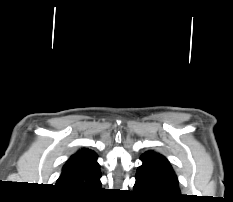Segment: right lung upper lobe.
Here are the masks:
<instances>
[{
	"label": "right lung upper lobe",
	"mask_w": 233,
	"mask_h": 202,
	"mask_svg": "<svg viewBox=\"0 0 233 202\" xmlns=\"http://www.w3.org/2000/svg\"><path fill=\"white\" fill-rule=\"evenodd\" d=\"M95 152L81 149L63 166L56 186L74 194H87L100 188L101 172Z\"/></svg>",
	"instance_id": "cb5924a9"
}]
</instances>
